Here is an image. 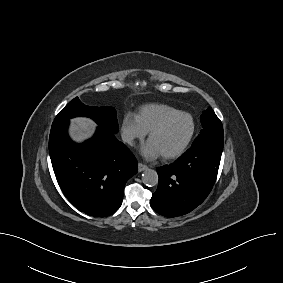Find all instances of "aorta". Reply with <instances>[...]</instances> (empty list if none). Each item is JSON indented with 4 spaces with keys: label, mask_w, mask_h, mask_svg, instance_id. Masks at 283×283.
<instances>
[{
    "label": "aorta",
    "mask_w": 283,
    "mask_h": 283,
    "mask_svg": "<svg viewBox=\"0 0 283 283\" xmlns=\"http://www.w3.org/2000/svg\"><path fill=\"white\" fill-rule=\"evenodd\" d=\"M142 182L147 186H155L158 184V174L155 170L147 169L142 174Z\"/></svg>",
    "instance_id": "762f6f07"
}]
</instances>
